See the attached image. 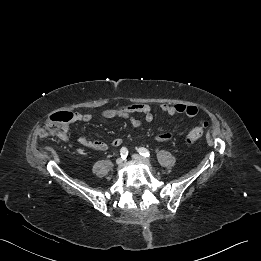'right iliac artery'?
Wrapping results in <instances>:
<instances>
[{
	"mask_svg": "<svg viewBox=\"0 0 261 261\" xmlns=\"http://www.w3.org/2000/svg\"><path fill=\"white\" fill-rule=\"evenodd\" d=\"M120 155L123 159H126L127 155H128V150L125 147H122L120 150Z\"/></svg>",
	"mask_w": 261,
	"mask_h": 261,
	"instance_id": "82829eb1",
	"label": "right iliac artery"
}]
</instances>
